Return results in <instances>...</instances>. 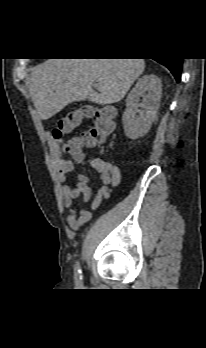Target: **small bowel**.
<instances>
[{
  "mask_svg": "<svg viewBox=\"0 0 206 348\" xmlns=\"http://www.w3.org/2000/svg\"><path fill=\"white\" fill-rule=\"evenodd\" d=\"M61 142V139H51L50 152L58 180L61 183H65L62 186V195L64 206L68 210V224L72 230L77 231L91 219L92 213L84 206L75 207L74 202L79 199L83 203L89 202L92 197V191L89 187V177L86 174H79L74 186L66 184L68 173L73 169L74 163L72 160L64 157L67 151L65 146H61ZM83 159V155L75 157V160L78 162H82ZM88 164L98 173L101 182V186L90 205V209L95 210L99 207L102 200L110 197L112 188L119 185L121 173L118 166L97 157H90Z\"/></svg>",
  "mask_w": 206,
  "mask_h": 348,
  "instance_id": "c3829d8e",
  "label": "small bowel"
}]
</instances>
